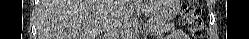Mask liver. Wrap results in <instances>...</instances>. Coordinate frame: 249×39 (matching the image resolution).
Here are the masks:
<instances>
[{"instance_id":"6515ba94","label":"liver","mask_w":249,"mask_h":39,"mask_svg":"<svg viewBox=\"0 0 249 39\" xmlns=\"http://www.w3.org/2000/svg\"><path fill=\"white\" fill-rule=\"evenodd\" d=\"M124 10V0H41L38 39H96L112 16L122 22Z\"/></svg>"}]
</instances>
